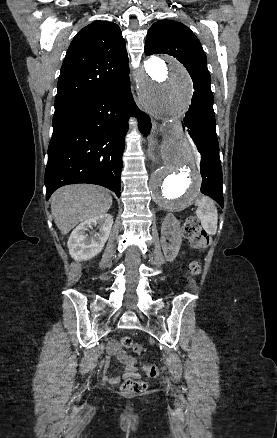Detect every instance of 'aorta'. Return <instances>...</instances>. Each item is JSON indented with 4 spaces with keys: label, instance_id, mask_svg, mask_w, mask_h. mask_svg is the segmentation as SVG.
<instances>
[{
    "label": "aorta",
    "instance_id": "aorta-1",
    "mask_svg": "<svg viewBox=\"0 0 277 438\" xmlns=\"http://www.w3.org/2000/svg\"><path fill=\"white\" fill-rule=\"evenodd\" d=\"M137 95L146 112L161 120L163 164L151 176L152 197L163 210H183L201 185L198 154L180 127L190 103L189 75L170 57H151L138 72Z\"/></svg>",
    "mask_w": 277,
    "mask_h": 438
}]
</instances>
